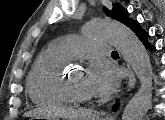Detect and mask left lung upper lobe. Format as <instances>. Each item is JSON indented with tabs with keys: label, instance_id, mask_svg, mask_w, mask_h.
<instances>
[{
	"label": "left lung upper lobe",
	"instance_id": "1",
	"mask_svg": "<svg viewBox=\"0 0 165 120\" xmlns=\"http://www.w3.org/2000/svg\"><path fill=\"white\" fill-rule=\"evenodd\" d=\"M104 11L106 12L107 16L117 19L128 27L133 21L128 17L127 10L122 8L119 4H114L112 11H109L107 8H104Z\"/></svg>",
	"mask_w": 165,
	"mask_h": 120
}]
</instances>
